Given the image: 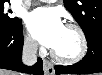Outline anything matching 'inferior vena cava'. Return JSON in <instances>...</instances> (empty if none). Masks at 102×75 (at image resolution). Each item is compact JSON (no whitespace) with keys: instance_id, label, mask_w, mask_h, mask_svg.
Listing matches in <instances>:
<instances>
[{"instance_id":"602c4592","label":"inferior vena cava","mask_w":102,"mask_h":75,"mask_svg":"<svg viewBox=\"0 0 102 75\" xmlns=\"http://www.w3.org/2000/svg\"><path fill=\"white\" fill-rule=\"evenodd\" d=\"M37 49V42L30 38L25 39L22 51V62L25 65L31 66L37 62Z\"/></svg>"}]
</instances>
